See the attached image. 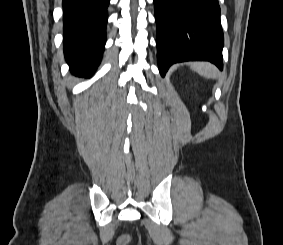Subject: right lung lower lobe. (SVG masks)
<instances>
[{
  "instance_id": "right-lung-lower-lobe-1",
  "label": "right lung lower lobe",
  "mask_w": 283,
  "mask_h": 245,
  "mask_svg": "<svg viewBox=\"0 0 283 245\" xmlns=\"http://www.w3.org/2000/svg\"><path fill=\"white\" fill-rule=\"evenodd\" d=\"M110 0H63L64 53L75 75L89 77L106 42Z\"/></svg>"
}]
</instances>
